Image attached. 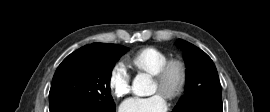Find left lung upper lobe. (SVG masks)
<instances>
[{
    "label": "left lung upper lobe",
    "instance_id": "left-lung-upper-lobe-1",
    "mask_svg": "<svg viewBox=\"0 0 270 112\" xmlns=\"http://www.w3.org/2000/svg\"><path fill=\"white\" fill-rule=\"evenodd\" d=\"M188 70L185 95L172 112H183L196 105L222 108L221 85L211 58L198 47L179 39Z\"/></svg>",
    "mask_w": 270,
    "mask_h": 112
}]
</instances>
